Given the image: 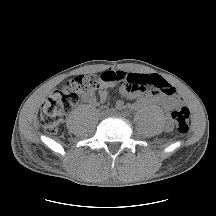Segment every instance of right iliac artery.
<instances>
[{
	"instance_id": "right-iliac-artery-1",
	"label": "right iliac artery",
	"mask_w": 216,
	"mask_h": 216,
	"mask_svg": "<svg viewBox=\"0 0 216 216\" xmlns=\"http://www.w3.org/2000/svg\"><path fill=\"white\" fill-rule=\"evenodd\" d=\"M109 111H110V113H116V109L115 108H111Z\"/></svg>"
}]
</instances>
